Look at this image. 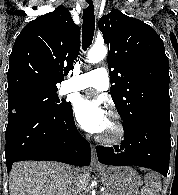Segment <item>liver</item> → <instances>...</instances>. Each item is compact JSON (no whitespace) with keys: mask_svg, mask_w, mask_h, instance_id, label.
<instances>
[{"mask_svg":"<svg viewBox=\"0 0 178 195\" xmlns=\"http://www.w3.org/2000/svg\"><path fill=\"white\" fill-rule=\"evenodd\" d=\"M74 169L58 162H17L9 176L10 195H81L90 181L87 169Z\"/></svg>","mask_w":178,"mask_h":195,"instance_id":"1","label":"liver"}]
</instances>
